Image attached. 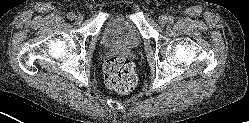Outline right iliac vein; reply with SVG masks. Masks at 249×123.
Here are the masks:
<instances>
[{"label":"right iliac vein","mask_w":249,"mask_h":123,"mask_svg":"<svg viewBox=\"0 0 249 123\" xmlns=\"http://www.w3.org/2000/svg\"><path fill=\"white\" fill-rule=\"evenodd\" d=\"M83 21V16L82 15H77L75 16V22L80 24Z\"/></svg>","instance_id":"1"}]
</instances>
